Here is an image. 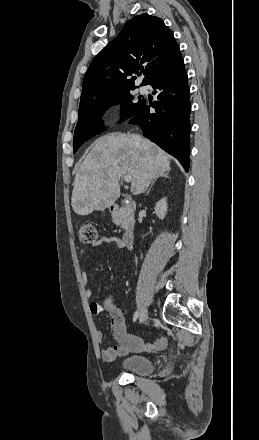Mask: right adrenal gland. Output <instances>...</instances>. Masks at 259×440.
<instances>
[{
  "mask_svg": "<svg viewBox=\"0 0 259 440\" xmlns=\"http://www.w3.org/2000/svg\"><path fill=\"white\" fill-rule=\"evenodd\" d=\"M159 177L169 178V173H168V172L163 173V174H161L160 176H158L157 178H159ZM157 178L154 179V181L152 182L151 186H150L149 189L147 190L146 194L149 193L150 189H151L152 186L155 184V181H157Z\"/></svg>",
  "mask_w": 259,
  "mask_h": 440,
  "instance_id": "obj_1",
  "label": "right adrenal gland"
}]
</instances>
